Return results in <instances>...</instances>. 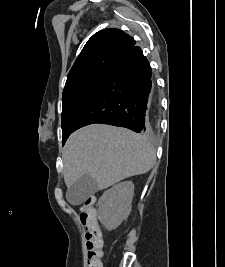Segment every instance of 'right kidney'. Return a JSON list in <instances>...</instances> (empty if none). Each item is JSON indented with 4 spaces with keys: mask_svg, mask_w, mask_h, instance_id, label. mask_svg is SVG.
<instances>
[{
    "mask_svg": "<svg viewBox=\"0 0 225 267\" xmlns=\"http://www.w3.org/2000/svg\"><path fill=\"white\" fill-rule=\"evenodd\" d=\"M134 184L124 181L105 191L99 199L98 219L107 230L117 228L131 212Z\"/></svg>",
    "mask_w": 225,
    "mask_h": 267,
    "instance_id": "1",
    "label": "right kidney"
}]
</instances>
